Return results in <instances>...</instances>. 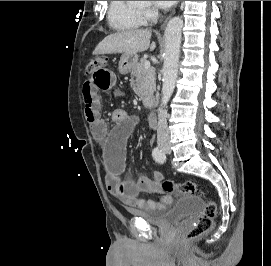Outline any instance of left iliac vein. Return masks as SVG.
I'll return each mask as SVG.
<instances>
[{
    "instance_id": "1",
    "label": "left iliac vein",
    "mask_w": 271,
    "mask_h": 266,
    "mask_svg": "<svg viewBox=\"0 0 271 266\" xmlns=\"http://www.w3.org/2000/svg\"><path fill=\"white\" fill-rule=\"evenodd\" d=\"M164 152H165L166 154H170V153H171L170 147L168 146L166 149H164Z\"/></svg>"
}]
</instances>
